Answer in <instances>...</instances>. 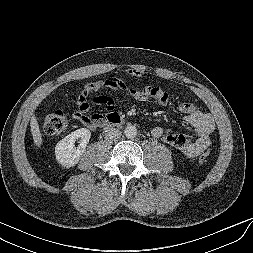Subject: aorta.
<instances>
[{
  "instance_id": "1",
  "label": "aorta",
  "mask_w": 253,
  "mask_h": 253,
  "mask_svg": "<svg viewBox=\"0 0 253 253\" xmlns=\"http://www.w3.org/2000/svg\"><path fill=\"white\" fill-rule=\"evenodd\" d=\"M124 134L128 139H133L137 135V128L134 125H127Z\"/></svg>"
}]
</instances>
